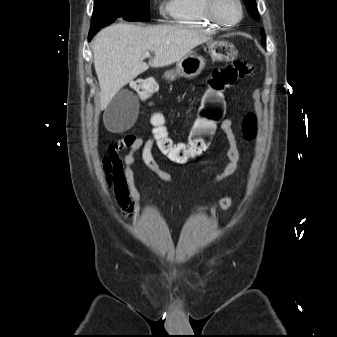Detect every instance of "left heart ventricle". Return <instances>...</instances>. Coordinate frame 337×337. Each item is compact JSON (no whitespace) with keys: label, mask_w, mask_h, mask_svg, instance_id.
Segmentation results:
<instances>
[{"label":"left heart ventricle","mask_w":337,"mask_h":337,"mask_svg":"<svg viewBox=\"0 0 337 337\" xmlns=\"http://www.w3.org/2000/svg\"><path fill=\"white\" fill-rule=\"evenodd\" d=\"M218 10L227 21H235L239 17V10L234 0H221Z\"/></svg>","instance_id":"1"}]
</instances>
